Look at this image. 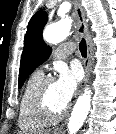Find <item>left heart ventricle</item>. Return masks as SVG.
Returning a JSON list of instances; mask_svg holds the SVG:
<instances>
[{
  "mask_svg": "<svg viewBox=\"0 0 116 134\" xmlns=\"http://www.w3.org/2000/svg\"><path fill=\"white\" fill-rule=\"evenodd\" d=\"M48 100L52 108L55 110H62L65 107V104L60 99L55 82L50 85Z\"/></svg>",
  "mask_w": 116,
  "mask_h": 134,
  "instance_id": "left-heart-ventricle-1",
  "label": "left heart ventricle"
}]
</instances>
